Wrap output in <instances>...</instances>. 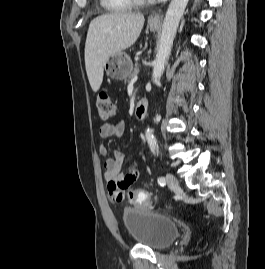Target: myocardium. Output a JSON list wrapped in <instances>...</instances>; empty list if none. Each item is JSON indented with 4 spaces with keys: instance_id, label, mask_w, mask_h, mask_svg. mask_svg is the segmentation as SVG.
<instances>
[{
    "instance_id": "myocardium-1",
    "label": "myocardium",
    "mask_w": 265,
    "mask_h": 269,
    "mask_svg": "<svg viewBox=\"0 0 265 269\" xmlns=\"http://www.w3.org/2000/svg\"><path fill=\"white\" fill-rule=\"evenodd\" d=\"M134 6H145L150 4L153 0H129Z\"/></svg>"
}]
</instances>
